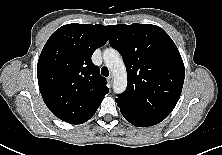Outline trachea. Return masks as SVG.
<instances>
[{
    "label": "trachea",
    "instance_id": "3493384b",
    "mask_svg": "<svg viewBox=\"0 0 222 155\" xmlns=\"http://www.w3.org/2000/svg\"><path fill=\"white\" fill-rule=\"evenodd\" d=\"M101 74H102L103 76H105V77H108V76H109V70H108V68H107V67H103V68L101 69Z\"/></svg>",
    "mask_w": 222,
    "mask_h": 155
}]
</instances>
